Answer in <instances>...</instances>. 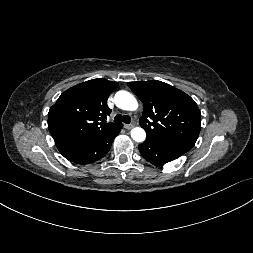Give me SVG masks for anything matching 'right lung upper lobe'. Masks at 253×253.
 I'll list each match as a JSON object with an SVG mask.
<instances>
[{"label": "right lung upper lobe", "instance_id": "obj_1", "mask_svg": "<svg viewBox=\"0 0 253 253\" xmlns=\"http://www.w3.org/2000/svg\"><path fill=\"white\" fill-rule=\"evenodd\" d=\"M118 83L93 79L63 92L48 113V129L62 153L111 132L121 124L106 123L109 95Z\"/></svg>", "mask_w": 253, "mask_h": 253}]
</instances>
